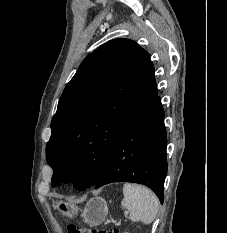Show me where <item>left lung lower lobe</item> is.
<instances>
[{
	"instance_id": "0a47b994",
	"label": "left lung lower lobe",
	"mask_w": 227,
	"mask_h": 233,
	"mask_svg": "<svg viewBox=\"0 0 227 233\" xmlns=\"http://www.w3.org/2000/svg\"><path fill=\"white\" fill-rule=\"evenodd\" d=\"M166 146L164 111L157 97L122 133L95 188L112 182L140 183L152 189L162 204Z\"/></svg>"
}]
</instances>
